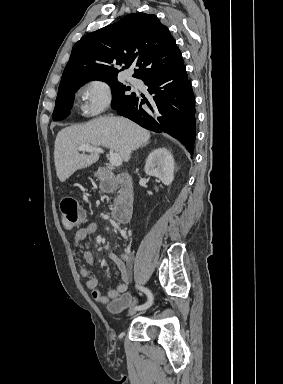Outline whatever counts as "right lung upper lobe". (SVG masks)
<instances>
[{"label":"right lung upper lobe","instance_id":"cb5924a9","mask_svg":"<svg viewBox=\"0 0 283 384\" xmlns=\"http://www.w3.org/2000/svg\"><path fill=\"white\" fill-rule=\"evenodd\" d=\"M138 66L133 77L147 79L184 64L168 28L153 14L134 13L83 36L73 47L59 86L117 79L120 70Z\"/></svg>","mask_w":283,"mask_h":384}]
</instances>
